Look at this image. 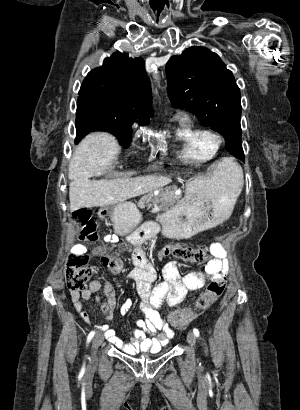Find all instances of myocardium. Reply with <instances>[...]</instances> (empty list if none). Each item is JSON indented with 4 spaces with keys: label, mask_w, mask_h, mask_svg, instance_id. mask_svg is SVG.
I'll list each match as a JSON object with an SVG mask.
<instances>
[{
    "label": "myocardium",
    "mask_w": 300,
    "mask_h": 410,
    "mask_svg": "<svg viewBox=\"0 0 300 410\" xmlns=\"http://www.w3.org/2000/svg\"><path fill=\"white\" fill-rule=\"evenodd\" d=\"M209 140H210V143L215 148H218L219 146H221L224 143L225 138L221 133L214 131V132H210Z\"/></svg>",
    "instance_id": "1"
}]
</instances>
